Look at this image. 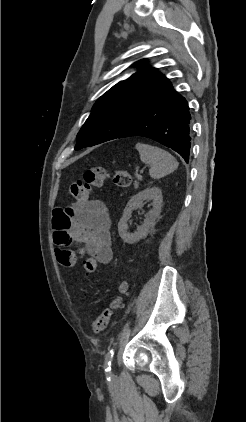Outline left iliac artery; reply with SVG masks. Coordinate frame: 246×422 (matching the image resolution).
<instances>
[{
    "mask_svg": "<svg viewBox=\"0 0 246 422\" xmlns=\"http://www.w3.org/2000/svg\"><path fill=\"white\" fill-rule=\"evenodd\" d=\"M113 356H114V349L112 348L108 351V353L105 356L104 368L107 374L110 373L111 371V362H112ZM108 380H110V376L108 377Z\"/></svg>",
    "mask_w": 246,
    "mask_h": 422,
    "instance_id": "44dca946",
    "label": "left iliac artery"
}]
</instances>
